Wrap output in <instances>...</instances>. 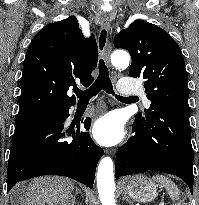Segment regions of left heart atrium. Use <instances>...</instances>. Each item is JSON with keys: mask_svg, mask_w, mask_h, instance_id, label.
Masks as SVG:
<instances>
[{"mask_svg": "<svg viewBox=\"0 0 199 205\" xmlns=\"http://www.w3.org/2000/svg\"><path fill=\"white\" fill-rule=\"evenodd\" d=\"M92 135L102 145L117 144L124 137V122L119 114L107 113L96 120L92 128Z\"/></svg>", "mask_w": 199, "mask_h": 205, "instance_id": "left-heart-atrium-1", "label": "left heart atrium"}]
</instances>
